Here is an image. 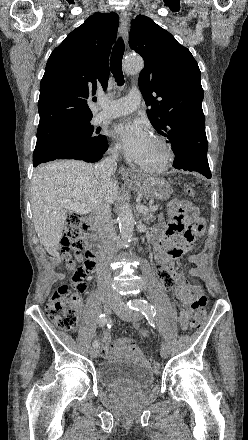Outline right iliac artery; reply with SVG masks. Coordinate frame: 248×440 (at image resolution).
I'll list each match as a JSON object with an SVG mask.
<instances>
[{
  "label": "right iliac artery",
  "mask_w": 248,
  "mask_h": 440,
  "mask_svg": "<svg viewBox=\"0 0 248 440\" xmlns=\"http://www.w3.org/2000/svg\"><path fill=\"white\" fill-rule=\"evenodd\" d=\"M107 321H108L107 315L105 313L100 314L99 320H98L99 326L104 327L106 325ZM98 346H99L98 341L94 340L93 347L98 348Z\"/></svg>",
  "instance_id": "obj_1"
}]
</instances>
